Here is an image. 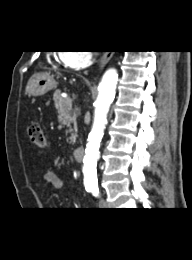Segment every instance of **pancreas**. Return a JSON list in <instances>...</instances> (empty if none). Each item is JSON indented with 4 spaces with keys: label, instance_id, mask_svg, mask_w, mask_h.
I'll return each mask as SVG.
<instances>
[{
    "label": "pancreas",
    "instance_id": "1",
    "mask_svg": "<svg viewBox=\"0 0 192 260\" xmlns=\"http://www.w3.org/2000/svg\"><path fill=\"white\" fill-rule=\"evenodd\" d=\"M55 108L57 110L58 119L60 121H66V125L69 127V130L66 131V133H70V137L67 139V141H70V143L75 142V138L77 137L76 134V118L80 114L79 110L77 108L72 109L68 108L66 105L67 98H63L60 95V91H56L53 96ZM71 124H74V128H71Z\"/></svg>",
    "mask_w": 192,
    "mask_h": 260
}]
</instances>
